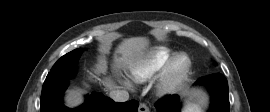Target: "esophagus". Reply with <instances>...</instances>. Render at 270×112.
Wrapping results in <instances>:
<instances>
[{"instance_id": "esophagus-1", "label": "esophagus", "mask_w": 270, "mask_h": 112, "mask_svg": "<svg viewBox=\"0 0 270 112\" xmlns=\"http://www.w3.org/2000/svg\"><path fill=\"white\" fill-rule=\"evenodd\" d=\"M138 112H150L148 106L145 103H140Z\"/></svg>"}]
</instances>
